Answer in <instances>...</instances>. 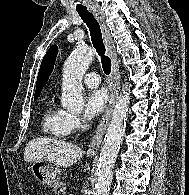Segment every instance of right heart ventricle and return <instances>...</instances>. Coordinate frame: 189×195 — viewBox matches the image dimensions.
Wrapping results in <instances>:
<instances>
[{
  "mask_svg": "<svg viewBox=\"0 0 189 195\" xmlns=\"http://www.w3.org/2000/svg\"><path fill=\"white\" fill-rule=\"evenodd\" d=\"M68 112L60 107L53 98L49 99L41 116V131L45 135L64 138L68 135Z\"/></svg>",
  "mask_w": 189,
  "mask_h": 195,
  "instance_id": "right-heart-ventricle-1",
  "label": "right heart ventricle"
}]
</instances>
